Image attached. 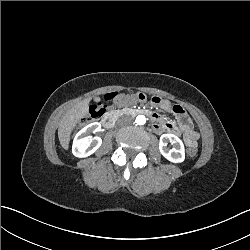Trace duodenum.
I'll return each instance as SVG.
<instances>
[{
  "label": "duodenum",
  "instance_id": "410a0bca",
  "mask_svg": "<svg viewBox=\"0 0 250 250\" xmlns=\"http://www.w3.org/2000/svg\"><path fill=\"white\" fill-rule=\"evenodd\" d=\"M129 114L131 116L145 115L148 116L149 112L143 108H135L129 111L126 110H112L107 113V115L102 120V125L105 129H112L116 119L122 114Z\"/></svg>",
  "mask_w": 250,
  "mask_h": 250
}]
</instances>
